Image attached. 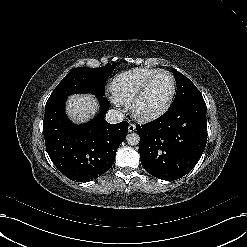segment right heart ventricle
<instances>
[{"label":"right heart ventricle","mask_w":247,"mask_h":247,"mask_svg":"<svg viewBox=\"0 0 247 247\" xmlns=\"http://www.w3.org/2000/svg\"><path fill=\"white\" fill-rule=\"evenodd\" d=\"M159 69L138 67L120 73L112 83V95L122 104L130 102L143 83Z\"/></svg>","instance_id":"obj_1"}]
</instances>
